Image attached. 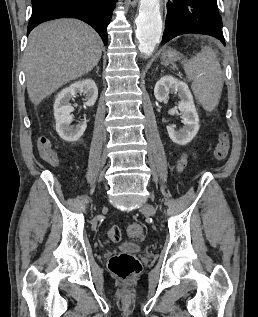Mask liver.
I'll return each mask as SVG.
<instances>
[{
	"label": "liver",
	"mask_w": 258,
	"mask_h": 317,
	"mask_svg": "<svg viewBox=\"0 0 258 317\" xmlns=\"http://www.w3.org/2000/svg\"><path fill=\"white\" fill-rule=\"evenodd\" d=\"M103 42L94 28L75 18H59L33 28L24 52L27 92L33 104L99 62Z\"/></svg>",
	"instance_id": "6515ba94"
}]
</instances>
